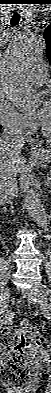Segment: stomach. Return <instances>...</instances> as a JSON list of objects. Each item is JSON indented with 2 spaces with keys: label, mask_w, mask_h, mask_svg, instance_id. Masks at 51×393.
<instances>
[{
  "label": "stomach",
  "mask_w": 51,
  "mask_h": 393,
  "mask_svg": "<svg viewBox=\"0 0 51 393\" xmlns=\"http://www.w3.org/2000/svg\"><path fill=\"white\" fill-rule=\"evenodd\" d=\"M33 157L40 165L51 164V145L48 147L41 146L37 151L33 152Z\"/></svg>",
  "instance_id": "1"
}]
</instances>
